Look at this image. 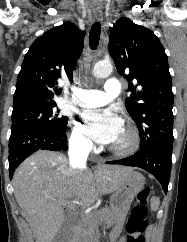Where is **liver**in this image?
<instances>
[{"instance_id":"1","label":"liver","mask_w":187,"mask_h":242,"mask_svg":"<svg viewBox=\"0 0 187 242\" xmlns=\"http://www.w3.org/2000/svg\"><path fill=\"white\" fill-rule=\"evenodd\" d=\"M118 165L73 169L61 153L38 151L28 157L13 177L16 201L31 221L36 242H52L60 230L63 205L75 211L89 207L102 195L116 192L129 170ZM77 201V203H73Z\"/></svg>"}]
</instances>
